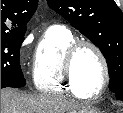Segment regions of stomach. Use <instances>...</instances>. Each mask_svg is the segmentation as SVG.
Returning a JSON list of instances; mask_svg holds the SVG:
<instances>
[{
    "label": "stomach",
    "mask_w": 123,
    "mask_h": 113,
    "mask_svg": "<svg viewBox=\"0 0 123 113\" xmlns=\"http://www.w3.org/2000/svg\"><path fill=\"white\" fill-rule=\"evenodd\" d=\"M75 113H99V112L94 108H87V109L76 111Z\"/></svg>",
    "instance_id": "obj_1"
}]
</instances>
